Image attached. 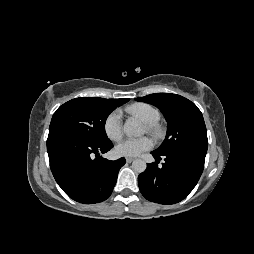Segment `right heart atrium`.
I'll return each mask as SVG.
<instances>
[{"mask_svg":"<svg viewBox=\"0 0 254 254\" xmlns=\"http://www.w3.org/2000/svg\"><path fill=\"white\" fill-rule=\"evenodd\" d=\"M103 128L107 137L113 141H118L123 135L121 113L112 111L104 120Z\"/></svg>","mask_w":254,"mask_h":254,"instance_id":"obj_1","label":"right heart atrium"}]
</instances>
